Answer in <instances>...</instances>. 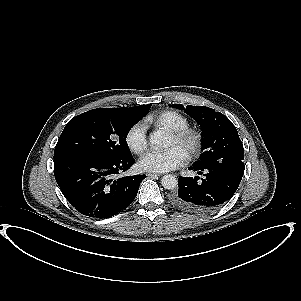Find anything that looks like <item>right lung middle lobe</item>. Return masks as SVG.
<instances>
[{
    "label": "right lung middle lobe",
    "instance_id": "1",
    "mask_svg": "<svg viewBox=\"0 0 301 301\" xmlns=\"http://www.w3.org/2000/svg\"><path fill=\"white\" fill-rule=\"evenodd\" d=\"M146 114L115 108L85 112L70 120L54 151V161L74 155L102 158L131 156L126 136Z\"/></svg>",
    "mask_w": 301,
    "mask_h": 301
}]
</instances>
